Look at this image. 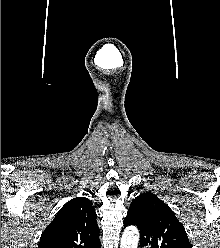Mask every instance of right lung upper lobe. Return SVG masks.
Segmentation results:
<instances>
[{"label":"right lung upper lobe","instance_id":"1","mask_svg":"<svg viewBox=\"0 0 220 248\" xmlns=\"http://www.w3.org/2000/svg\"><path fill=\"white\" fill-rule=\"evenodd\" d=\"M96 218L88 198H73L44 230L38 248H99L100 230Z\"/></svg>","mask_w":220,"mask_h":248}]
</instances>
